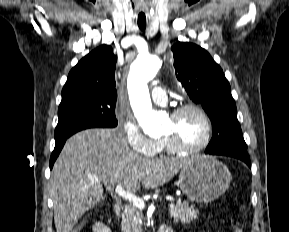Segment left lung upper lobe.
I'll return each mask as SVG.
<instances>
[{
  "instance_id": "1",
  "label": "left lung upper lobe",
  "mask_w": 289,
  "mask_h": 232,
  "mask_svg": "<svg viewBox=\"0 0 289 232\" xmlns=\"http://www.w3.org/2000/svg\"><path fill=\"white\" fill-rule=\"evenodd\" d=\"M172 51L177 79L212 123V139L205 151L246 149L230 84L221 67L205 49L192 43L178 42Z\"/></svg>"
}]
</instances>
